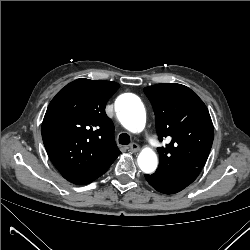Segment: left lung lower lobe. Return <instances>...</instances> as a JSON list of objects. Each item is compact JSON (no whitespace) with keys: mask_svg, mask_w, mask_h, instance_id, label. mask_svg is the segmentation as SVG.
I'll return each instance as SVG.
<instances>
[{"mask_svg":"<svg viewBox=\"0 0 250 250\" xmlns=\"http://www.w3.org/2000/svg\"><path fill=\"white\" fill-rule=\"evenodd\" d=\"M201 169L184 170L157 169L152 175H145L148 183L157 191L164 194L177 193L191 184L199 175Z\"/></svg>","mask_w":250,"mask_h":250,"instance_id":"0a47b994","label":"left lung lower lobe"}]
</instances>
